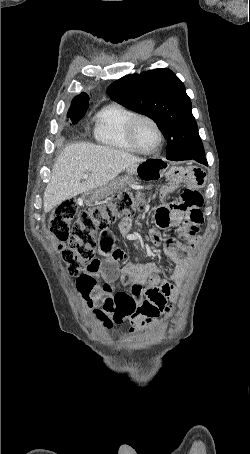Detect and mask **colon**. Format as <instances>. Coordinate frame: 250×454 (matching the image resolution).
Wrapping results in <instances>:
<instances>
[{"label": "colon", "mask_w": 250, "mask_h": 454, "mask_svg": "<svg viewBox=\"0 0 250 454\" xmlns=\"http://www.w3.org/2000/svg\"><path fill=\"white\" fill-rule=\"evenodd\" d=\"M145 206L143 195L128 191L120 192L110 200L84 210H78L73 199L58 204L52 211L49 228L58 241L70 275H78L95 258L99 230ZM76 215L77 220L72 224ZM94 312L106 327H111L115 322L101 308H96Z\"/></svg>", "instance_id": "5ec220e1"}]
</instances>
